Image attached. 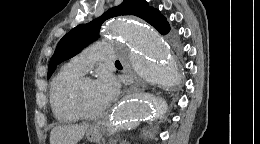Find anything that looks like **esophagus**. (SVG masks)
Returning a JSON list of instances; mask_svg holds the SVG:
<instances>
[{
    "mask_svg": "<svg viewBox=\"0 0 260 144\" xmlns=\"http://www.w3.org/2000/svg\"><path fill=\"white\" fill-rule=\"evenodd\" d=\"M142 83L138 80H134V82L132 84H130L127 89L123 92V95L124 96H128L130 95L131 93H133L134 91H137L139 89V86L141 85ZM94 129L96 130V127H94Z\"/></svg>",
    "mask_w": 260,
    "mask_h": 144,
    "instance_id": "esophagus-1",
    "label": "esophagus"
}]
</instances>
